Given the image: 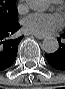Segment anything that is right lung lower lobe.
Wrapping results in <instances>:
<instances>
[{
	"instance_id": "right-lung-lower-lobe-1",
	"label": "right lung lower lobe",
	"mask_w": 65,
	"mask_h": 89,
	"mask_svg": "<svg viewBox=\"0 0 65 89\" xmlns=\"http://www.w3.org/2000/svg\"><path fill=\"white\" fill-rule=\"evenodd\" d=\"M20 24L0 25V71L9 68L17 56L18 44L23 36L15 37Z\"/></svg>"
}]
</instances>
